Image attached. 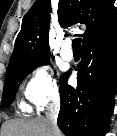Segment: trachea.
Here are the masks:
<instances>
[{
	"label": "trachea",
	"instance_id": "obj_1",
	"mask_svg": "<svg viewBox=\"0 0 117 136\" xmlns=\"http://www.w3.org/2000/svg\"><path fill=\"white\" fill-rule=\"evenodd\" d=\"M73 51L81 50V38H75L72 42Z\"/></svg>",
	"mask_w": 117,
	"mask_h": 136
}]
</instances>
